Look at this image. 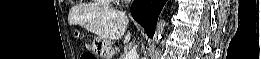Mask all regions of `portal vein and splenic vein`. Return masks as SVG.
Returning a JSON list of instances; mask_svg holds the SVG:
<instances>
[{"label":"portal vein and splenic vein","mask_w":261,"mask_h":59,"mask_svg":"<svg viewBox=\"0 0 261 59\" xmlns=\"http://www.w3.org/2000/svg\"><path fill=\"white\" fill-rule=\"evenodd\" d=\"M136 58H137L136 50H130L128 54L125 56V59H136Z\"/></svg>","instance_id":"18ae733b"}]
</instances>
